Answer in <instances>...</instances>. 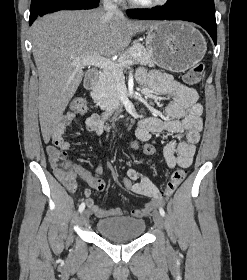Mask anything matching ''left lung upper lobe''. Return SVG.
Returning <instances> with one entry per match:
<instances>
[{
  "label": "left lung upper lobe",
  "mask_w": 247,
  "mask_h": 280,
  "mask_svg": "<svg viewBox=\"0 0 247 280\" xmlns=\"http://www.w3.org/2000/svg\"><path fill=\"white\" fill-rule=\"evenodd\" d=\"M190 1H193V0H169L168 4L169 5H179V4H184V3H187Z\"/></svg>",
  "instance_id": "1"
}]
</instances>
